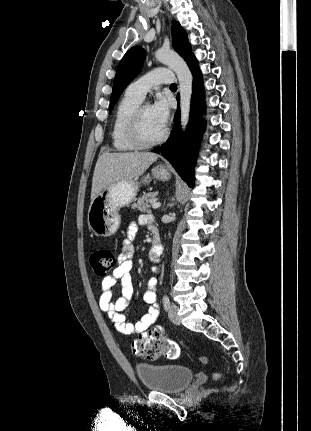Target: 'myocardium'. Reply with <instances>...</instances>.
Segmentation results:
<instances>
[{
    "instance_id": "1",
    "label": "myocardium",
    "mask_w": 311,
    "mask_h": 431,
    "mask_svg": "<svg viewBox=\"0 0 311 431\" xmlns=\"http://www.w3.org/2000/svg\"><path fill=\"white\" fill-rule=\"evenodd\" d=\"M145 104L140 103L139 106L133 111L128 121V137L137 146L142 148L153 147L162 143L167 135L168 130L165 129L162 135L155 140H148L143 132V116Z\"/></svg>"
}]
</instances>
